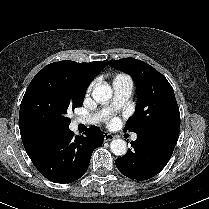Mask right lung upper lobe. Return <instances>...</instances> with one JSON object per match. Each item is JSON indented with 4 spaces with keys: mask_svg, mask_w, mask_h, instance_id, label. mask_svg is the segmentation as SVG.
Wrapping results in <instances>:
<instances>
[{
    "mask_svg": "<svg viewBox=\"0 0 209 209\" xmlns=\"http://www.w3.org/2000/svg\"><path fill=\"white\" fill-rule=\"evenodd\" d=\"M51 64H63L78 68L82 72L87 86L93 80V78L96 77L101 72L104 66L107 65V63L104 61H95L90 63H76L74 61H69V60L55 62ZM19 128H20L21 138L27 154L34 152L48 139L59 134V133H44L32 129L27 125H25L22 121H19Z\"/></svg>",
    "mask_w": 209,
    "mask_h": 209,
    "instance_id": "1",
    "label": "right lung upper lobe"
}]
</instances>
